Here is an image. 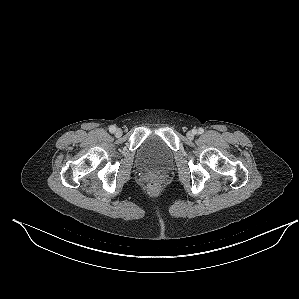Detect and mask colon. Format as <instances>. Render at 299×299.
Returning <instances> with one entry per match:
<instances>
[{
    "mask_svg": "<svg viewBox=\"0 0 299 299\" xmlns=\"http://www.w3.org/2000/svg\"><path fill=\"white\" fill-rule=\"evenodd\" d=\"M149 188H150L151 190H157V188H158V183H157V181H155V180L150 181V183H149Z\"/></svg>",
    "mask_w": 299,
    "mask_h": 299,
    "instance_id": "obj_1",
    "label": "colon"
}]
</instances>
